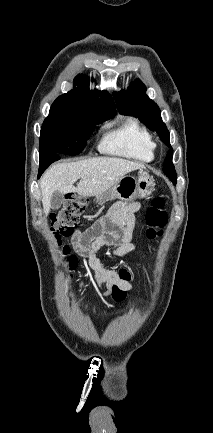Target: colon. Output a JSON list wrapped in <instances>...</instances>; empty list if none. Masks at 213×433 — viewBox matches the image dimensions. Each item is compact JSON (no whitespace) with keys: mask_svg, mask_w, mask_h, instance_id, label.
<instances>
[{"mask_svg":"<svg viewBox=\"0 0 213 433\" xmlns=\"http://www.w3.org/2000/svg\"><path fill=\"white\" fill-rule=\"evenodd\" d=\"M86 200L78 196H70L62 208L51 214L50 216V230L57 242L60 253L66 257L67 265L70 269H74L77 265V259L70 255V248L68 245L62 243V238L70 236L74 228L78 225L79 219L85 210ZM165 201L162 196H157L151 201L150 207L146 212V222L148 225L147 237L154 239L161 234V229L166 225L168 216L164 209ZM122 280L128 281L130 276L126 271L120 272ZM112 295L115 300H122L125 292L119 288H114Z\"/></svg>","mask_w":213,"mask_h":433,"instance_id":"obj_1","label":"colon"}]
</instances>
